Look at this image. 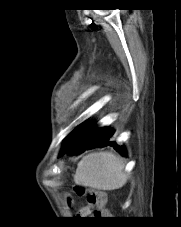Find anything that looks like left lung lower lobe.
I'll return each instance as SVG.
<instances>
[{
    "label": "left lung lower lobe",
    "instance_id": "1",
    "mask_svg": "<svg viewBox=\"0 0 181 227\" xmlns=\"http://www.w3.org/2000/svg\"><path fill=\"white\" fill-rule=\"evenodd\" d=\"M112 135L113 131L107 128H97L95 125H88L73 142L63 148L61 155L65 153L77 154L91 148L105 146H112L122 155H126L123 146L110 141Z\"/></svg>",
    "mask_w": 181,
    "mask_h": 227
}]
</instances>
